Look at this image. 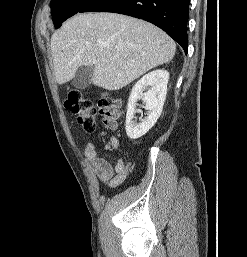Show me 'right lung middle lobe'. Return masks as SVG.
Instances as JSON below:
<instances>
[{
    "mask_svg": "<svg viewBox=\"0 0 247 257\" xmlns=\"http://www.w3.org/2000/svg\"><path fill=\"white\" fill-rule=\"evenodd\" d=\"M91 0H51L50 6L55 28H59L69 17L78 13Z\"/></svg>",
    "mask_w": 247,
    "mask_h": 257,
    "instance_id": "obj_1",
    "label": "right lung middle lobe"
}]
</instances>
